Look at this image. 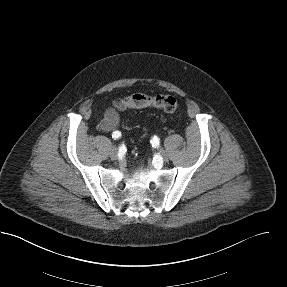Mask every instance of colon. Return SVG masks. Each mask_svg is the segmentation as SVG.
Segmentation results:
<instances>
[{"mask_svg":"<svg viewBox=\"0 0 287 287\" xmlns=\"http://www.w3.org/2000/svg\"><path fill=\"white\" fill-rule=\"evenodd\" d=\"M113 105L114 108L119 111L153 107L165 112H174L178 108L176 98L169 94L148 95L144 93H134L129 96L116 99Z\"/></svg>","mask_w":287,"mask_h":287,"instance_id":"obj_1","label":"colon"}]
</instances>
